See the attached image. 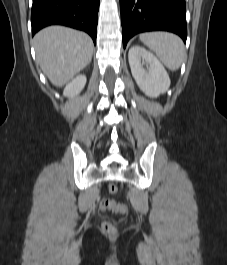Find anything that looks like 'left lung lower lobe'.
Wrapping results in <instances>:
<instances>
[{
	"mask_svg": "<svg viewBox=\"0 0 227 265\" xmlns=\"http://www.w3.org/2000/svg\"><path fill=\"white\" fill-rule=\"evenodd\" d=\"M123 46L135 34L166 30L187 38L185 0H120Z\"/></svg>",
	"mask_w": 227,
	"mask_h": 265,
	"instance_id": "0a47b994",
	"label": "left lung lower lobe"
}]
</instances>
